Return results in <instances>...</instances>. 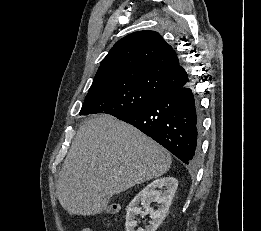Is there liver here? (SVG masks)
Instances as JSON below:
<instances>
[{
  "label": "liver",
  "instance_id": "6515ba94",
  "mask_svg": "<svg viewBox=\"0 0 261 231\" xmlns=\"http://www.w3.org/2000/svg\"><path fill=\"white\" fill-rule=\"evenodd\" d=\"M170 153L130 124L95 115L79 127L64 160L56 195L70 215L101 213L114 194L165 174Z\"/></svg>",
  "mask_w": 261,
  "mask_h": 231
}]
</instances>
